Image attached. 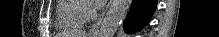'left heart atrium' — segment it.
<instances>
[{"label": "left heart atrium", "instance_id": "left-heart-atrium-1", "mask_svg": "<svg viewBox=\"0 0 219 37\" xmlns=\"http://www.w3.org/2000/svg\"><path fill=\"white\" fill-rule=\"evenodd\" d=\"M95 2H96L97 5H99V4H101L103 1H101V0H95Z\"/></svg>", "mask_w": 219, "mask_h": 37}]
</instances>
